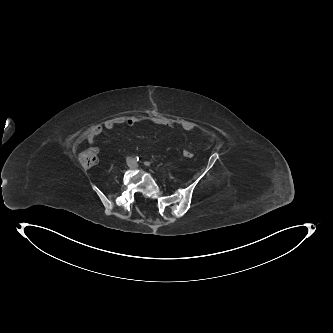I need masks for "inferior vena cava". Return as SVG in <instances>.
I'll return each instance as SVG.
<instances>
[{
  "label": "inferior vena cava",
  "instance_id": "602c4592",
  "mask_svg": "<svg viewBox=\"0 0 333 333\" xmlns=\"http://www.w3.org/2000/svg\"><path fill=\"white\" fill-rule=\"evenodd\" d=\"M127 165L131 167L134 163V159L132 157H127L126 158Z\"/></svg>",
  "mask_w": 333,
  "mask_h": 333
}]
</instances>
